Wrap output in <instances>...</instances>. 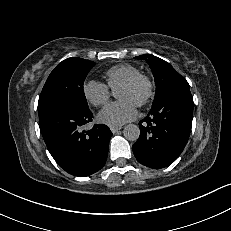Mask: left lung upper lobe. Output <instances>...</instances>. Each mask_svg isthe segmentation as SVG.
Wrapping results in <instances>:
<instances>
[{
  "mask_svg": "<svg viewBox=\"0 0 231 231\" xmlns=\"http://www.w3.org/2000/svg\"><path fill=\"white\" fill-rule=\"evenodd\" d=\"M136 59L147 60L152 70L156 83V94L153 105L158 103L169 93L180 90H190L186 79L182 77L168 62L153 55H141L137 56Z\"/></svg>",
  "mask_w": 231,
  "mask_h": 231,
  "instance_id": "1",
  "label": "left lung upper lobe"
}]
</instances>
